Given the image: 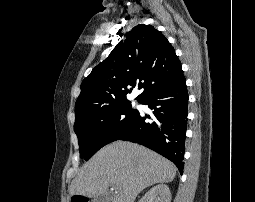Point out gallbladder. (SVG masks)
<instances>
[{
    "label": "gallbladder",
    "instance_id": "obj_1",
    "mask_svg": "<svg viewBox=\"0 0 255 202\" xmlns=\"http://www.w3.org/2000/svg\"><path fill=\"white\" fill-rule=\"evenodd\" d=\"M108 196L107 195H100L94 198V202H107Z\"/></svg>",
    "mask_w": 255,
    "mask_h": 202
}]
</instances>
